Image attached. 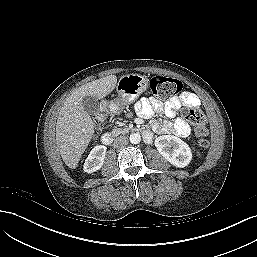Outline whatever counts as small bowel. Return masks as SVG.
Wrapping results in <instances>:
<instances>
[{
    "label": "small bowel",
    "mask_w": 257,
    "mask_h": 257,
    "mask_svg": "<svg viewBox=\"0 0 257 257\" xmlns=\"http://www.w3.org/2000/svg\"><path fill=\"white\" fill-rule=\"evenodd\" d=\"M182 105L189 108H196L200 105V100L195 94L184 92L179 97L171 98L165 104L154 98L141 99L135 103L134 109L142 117H150L154 112H162L165 116L173 118L176 111ZM154 129L160 134L173 133L180 137H186L190 134L189 125L181 118L175 119L174 122L164 121L156 124Z\"/></svg>",
    "instance_id": "1"
}]
</instances>
